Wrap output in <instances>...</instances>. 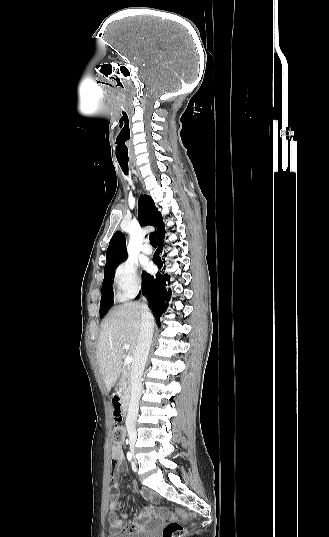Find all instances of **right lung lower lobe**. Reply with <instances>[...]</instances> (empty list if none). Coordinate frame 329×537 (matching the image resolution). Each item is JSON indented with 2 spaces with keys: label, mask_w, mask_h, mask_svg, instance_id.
Masks as SVG:
<instances>
[{
  "label": "right lung lower lobe",
  "mask_w": 329,
  "mask_h": 537,
  "mask_svg": "<svg viewBox=\"0 0 329 537\" xmlns=\"http://www.w3.org/2000/svg\"><path fill=\"white\" fill-rule=\"evenodd\" d=\"M165 234V233H164ZM164 234L157 238L158 249L156 250L153 261L158 267L159 270H165V259L163 258V243ZM169 279L167 274L163 275L161 272H158L156 275H150L146 272H142V291L149 298V306L153 310V315L156 317L159 322L160 316L164 313L167 308V303L165 301L170 299L171 291H166L165 281ZM139 296V295H138Z\"/></svg>",
  "instance_id": "obj_1"
}]
</instances>
